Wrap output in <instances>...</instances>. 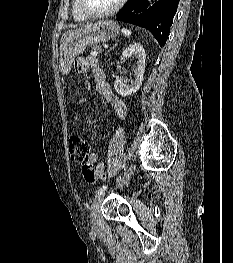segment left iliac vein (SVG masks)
I'll list each match as a JSON object with an SVG mask.
<instances>
[{
    "label": "left iliac vein",
    "mask_w": 233,
    "mask_h": 263,
    "mask_svg": "<svg viewBox=\"0 0 233 263\" xmlns=\"http://www.w3.org/2000/svg\"><path fill=\"white\" fill-rule=\"evenodd\" d=\"M135 171V165H132L128 168V170L125 172L122 178L118 180V186H123L125 183H127ZM105 193H102L98 195L92 204L91 207V219H92V227L93 229H98L100 226V220H99V214H100V208L101 204L104 200Z\"/></svg>",
    "instance_id": "4c4485c4"
}]
</instances>
